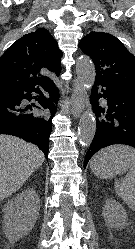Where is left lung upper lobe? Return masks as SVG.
<instances>
[{"instance_id":"1","label":"left lung upper lobe","mask_w":135,"mask_h":249,"mask_svg":"<svg viewBox=\"0 0 135 249\" xmlns=\"http://www.w3.org/2000/svg\"><path fill=\"white\" fill-rule=\"evenodd\" d=\"M79 47L95 64L96 83L135 93V56L121 41L109 33L92 31Z\"/></svg>"}]
</instances>
